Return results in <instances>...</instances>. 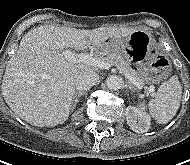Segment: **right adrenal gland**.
I'll use <instances>...</instances> for the list:
<instances>
[{
	"label": "right adrenal gland",
	"mask_w": 190,
	"mask_h": 165,
	"mask_svg": "<svg viewBox=\"0 0 190 165\" xmlns=\"http://www.w3.org/2000/svg\"><path fill=\"white\" fill-rule=\"evenodd\" d=\"M85 92L84 91H79V92H76L73 96V100H72V105H71V110L73 111L76 107V104L78 103L79 101V98L84 94Z\"/></svg>",
	"instance_id": "right-adrenal-gland-1"
}]
</instances>
